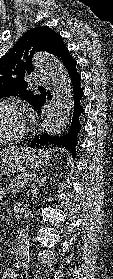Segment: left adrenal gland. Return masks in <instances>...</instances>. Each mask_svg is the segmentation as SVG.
<instances>
[{"instance_id": "left-adrenal-gland-1", "label": "left adrenal gland", "mask_w": 113, "mask_h": 279, "mask_svg": "<svg viewBox=\"0 0 113 279\" xmlns=\"http://www.w3.org/2000/svg\"><path fill=\"white\" fill-rule=\"evenodd\" d=\"M44 172H42L35 180L34 183L31 185V191L35 193L37 191L38 186H42L46 180V176H43Z\"/></svg>"}]
</instances>
